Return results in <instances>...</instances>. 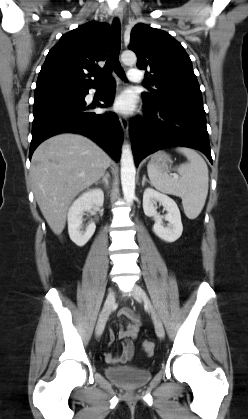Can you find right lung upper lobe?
Returning <instances> with one entry per match:
<instances>
[{
  "label": "right lung upper lobe",
  "instance_id": "obj_1",
  "mask_svg": "<svg viewBox=\"0 0 248 419\" xmlns=\"http://www.w3.org/2000/svg\"><path fill=\"white\" fill-rule=\"evenodd\" d=\"M110 26L86 23L60 38L49 51L37 79L34 96L84 92L96 87L99 61L106 59ZM91 76L95 79L91 80Z\"/></svg>",
  "mask_w": 248,
  "mask_h": 419
}]
</instances>
